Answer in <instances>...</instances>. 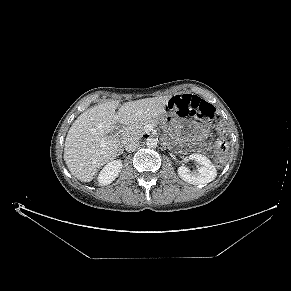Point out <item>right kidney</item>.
<instances>
[{
	"label": "right kidney",
	"instance_id": "1",
	"mask_svg": "<svg viewBox=\"0 0 291 291\" xmlns=\"http://www.w3.org/2000/svg\"><path fill=\"white\" fill-rule=\"evenodd\" d=\"M122 169L121 160H113L103 167L101 170L98 181L102 186L110 184L112 181L118 177Z\"/></svg>",
	"mask_w": 291,
	"mask_h": 291
}]
</instances>
